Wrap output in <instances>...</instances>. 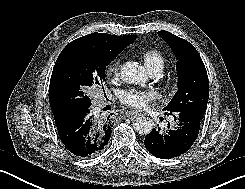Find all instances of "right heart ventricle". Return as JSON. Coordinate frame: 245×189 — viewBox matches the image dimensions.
<instances>
[{
  "label": "right heart ventricle",
  "instance_id": "right-heart-ventricle-1",
  "mask_svg": "<svg viewBox=\"0 0 245 189\" xmlns=\"http://www.w3.org/2000/svg\"><path fill=\"white\" fill-rule=\"evenodd\" d=\"M140 55L149 71L162 70L165 65L163 53L156 48H145L140 51Z\"/></svg>",
  "mask_w": 245,
  "mask_h": 189
}]
</instances>
